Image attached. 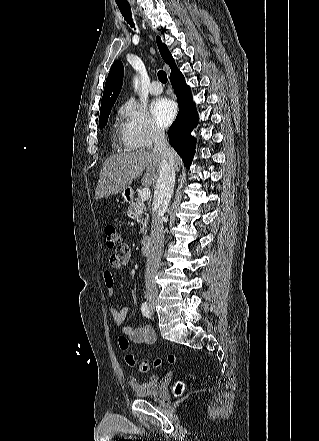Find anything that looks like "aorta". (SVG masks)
<instances>
[{
	"label": "aorta",
	"mask_w": 319,
	"mask_h": 441,
	"mask_svg": "<svg viewBox=\"0 0 319 441\" xmlns=\"http://www.w3.org/2000/svg\"><path fill=\"white\" fill-rule=\"evenodd\" d=\"M134 87H135V90H137L138 87H139V81H138V78H135V79H134Z\"/></svg>",
	"instance_id": "1"
}]
</instances>
